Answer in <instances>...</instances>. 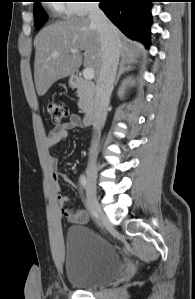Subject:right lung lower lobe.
Instances as JSON below:
<instances>
[{"instance_id": "1", "label": "right lung lower lobe", "mask_w": 195, "mask_h": 299, "mask_svg": "<svg viewBox=\"0 0 195 299\" xmlns=\"http://www.w3.org/2000/svg\"><path fill=\"white\" fill-rule=\"evenodd\" d=\"M100 9L129 38L150 46L153 0H99Z\"/></svg>"}]
</instances>
